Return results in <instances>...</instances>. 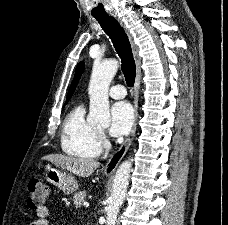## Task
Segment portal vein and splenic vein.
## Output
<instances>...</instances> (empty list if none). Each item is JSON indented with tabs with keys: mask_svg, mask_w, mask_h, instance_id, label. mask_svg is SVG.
Segmentation results:
<instances>
[{
	"mask_svg": "<svg viewBox=\"0 0 228 225\" xmlns=\"http://www.w3.org/2000/svg\"><path fill=\"white\" fill-rule=\"evenodd\" d=\"M83 205H85V207H89V203H83Z\"/></svg>",
	"mask_w": 228,
	"mask_h": 225,
	"instance_id": "1",
	"label": "portal vein and splenic vein"
}]
</instances>
